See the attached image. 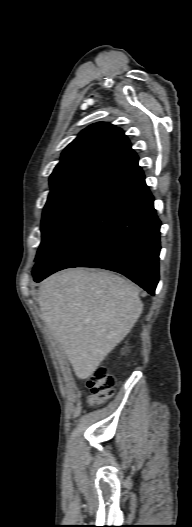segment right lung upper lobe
Returning a JSON list of instances; mask_svg holds the SVG:
<instances>
[{"label":"right lung upper lobe","instance_id":"1","mask_svg":"<svg viewBox=\"0 0 192 527\" xmlns=\"http://www.w3.org/2000/svg\"><path fill=\"white\" fill-rule=\"evenodd\" d=\"M136 159V153L120 128L98 122L82 130L65 148L50 176V186L54 188L88 178L108 182Z\"/></svg>","mask_w":192,"mask_h":527}]
</instances>
